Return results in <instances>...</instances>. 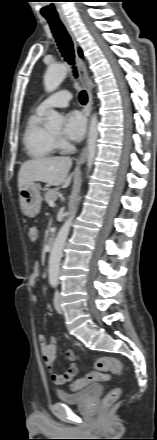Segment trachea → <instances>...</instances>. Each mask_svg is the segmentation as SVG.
<instances>
[{
    "mask_svg": "<svg viewBox=\"0 0 157 440\" xmlns=\"http://www.w3.org/2000/svg\"><path fill=\"white\" fill-rule=\"evenodd\" d=\"M46 20L50 25L53 36L65 61L71 65H74L73 43L65 26L59 18H46ZM73 69L74 76L77 77L75 67H73ZM79 101L82 105H85L88 101L87 93L84 90L79 93Z\"/></svg>",
    "mask_w": 157,
    "mask_h": 440,
    "instance_id": "1",
    "label": "trachea"
}]
</instances>
